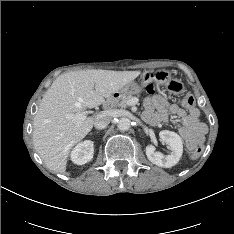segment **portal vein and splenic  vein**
Listing matches in <instances>:
<instances>
[{
  "mask_svg": "<svg viewBox=\"0 0 234 234\" xmlns=\"http://www.w3.org/2000/svg\"><path fill=\"white\" fill-rule=\"evenodd\" d=\"M67 118L72 120V121H75L77 123V126L79 127L80 124L87 118V115L86 113H80V114H70V115H67Z\"/></svg>",
  "mask_w": 234,
  "mask_h": 234,
  "instance_id": "18ae733b",
  "label": "portal vein and splenic vein"
}]
</instances>
